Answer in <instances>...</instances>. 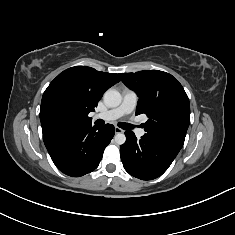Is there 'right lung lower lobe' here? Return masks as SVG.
Segmentation results:
<instances>
[{"label": "right lung lower lobe", "instance_id": "98d812e1", "mask_svg": "<svg viewBox=\"0 0 235 235\" xmlns=\"http://www.w3.org/2000/svg\"><path fill=\"white\" fill-rule=\"evenodd\" d=\"M115 133L111 124L62 129L44 137L45 146L56 167L72 177L83 176L96 169L104 149Z\"/></svg>", "mask_w": 235, "mask_h": 235}]
</instances>
